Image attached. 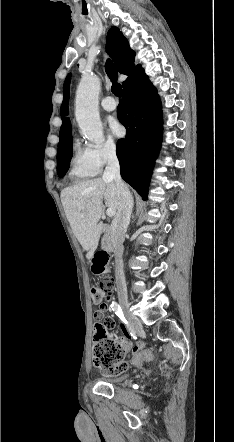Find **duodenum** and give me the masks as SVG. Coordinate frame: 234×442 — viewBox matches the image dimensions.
Segmentation results:
<instances>
[{"label": "duodenum", "instance_id": "obj_1", "mask_svg": "<svg viewBox=\"0 0 234 442\" xmlns=\"http://www.w3.org/2000/svg\"><path fill=\"white\" fill-rule=\"evenodd\" d=\"M103 233H104V248H105V251L103 253H111L114 249V246L111 236L109 234V227L107 225L103 226Z\"/></svg>", "mask_w": 234, "mask_h": 442}]
</instances>
